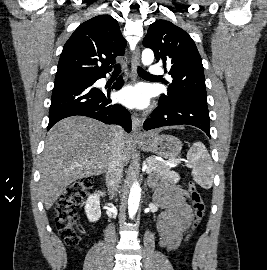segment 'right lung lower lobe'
I'll list each match as a JSON object with an SVG mask.
<instances>
[{
	"label": "right lung lower lobe",
	"instance_id": "1",
	"mask_svg": "<svg viewBox=\"0 0 267 270\" xmlns=\"http://www.w3.org/2000/svg\"><path fill=\"white\" fill-rule=\"evenodd\" d=\"M105 74L87 76L85 80H66L54 83L49 111V130L55 123L66 117L82 115L107 124L121 125L131 131L130 113L121 105L112 104L110 91L107 96L92 85ZM124 84L120 76L112 89H120Z\"/></svg>",
	"mask_w": 267,
	"mask_h": 270
}]
</instances>
